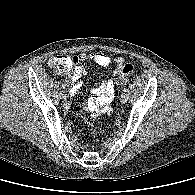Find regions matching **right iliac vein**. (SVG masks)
<instances>
[{
  "label": "right iliac vein",
  "mask_w": 195,
  "mask_h": 195,
  "mask_svg": "<svg viewBox=\"0 0 195 195\" xmlns=\"http://www.w3.org/2000/svg\"><path fill=\"white\" fill-rule=\"evenodd\" d=\"M61 96H62V99H64V100H67V99H68V97H69V95H68V93H67V91H66V90H63V91H62Z\"/></svg>",
  "instance_id": "obj_1"
}]
</instances>
